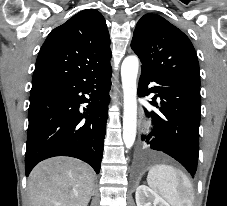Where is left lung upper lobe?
I'll return each instance as SVG.
<instances>
[{"mask_svg": "<svg viewBox=\"0 0 227 206\" xmlns=\"http://www.w3.org/2000/svg\"><path fill=\"white\" fill-rule=\"evenodd\" d=\"M132 50L141 68L200 86L199 63L189 38L157 14H145L137 23Z\"/></svg>", "mask_w": 227, "mask_h": 206, "instance_id": "1", "label": "left lung upper lobe"}]
</instances>
